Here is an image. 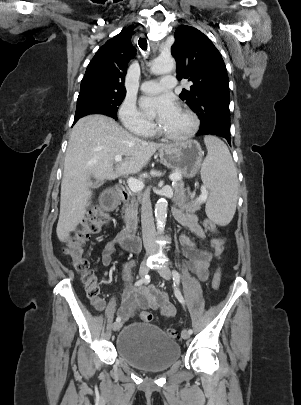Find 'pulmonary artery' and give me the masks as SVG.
Listing matches in <instances>:
<instances>
[{"instance_id": "e3ab8cb5", "label": "pulmonary artery", "mask_w": 301, "mask_h": 405, "mask_svg": "<svg viewBox=\"0 0 301 405\" xmlns=\"http://www.w3.org/2000/svg\"><path fill=\"white\" fill-rule=\"evenodd\" d=\"M176 86V78L172 75L164 76L160 80H149L141 84L140 89L144 93H158L163 90L172 89Z\"/></svg>"}]
</instances>
